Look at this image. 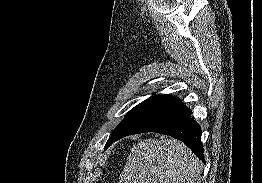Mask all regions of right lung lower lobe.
Wrapping results in <instances>:
<instances>
[{
    "instance_id": "right-lung-lower-lobe-1",
    "label": "right lung lower lobe",
    "mask_w": 262,
    "mask_h": 183,
    "mask_svg": "<svg viewBox=\"0 0 262 183\" xmlns=\"http://www.w3.org/2000/svg\"><path fill=\"white\" fill-rule=\"evenodd\" d=\"M190 114L191 110L178 98L170 95H157L150 100L116 140L132 134L157 132L184 142L198 158L205 162L200 140L201 129ZM111 144L106 145V148Z\"/></svg>"
}]
</instances>
